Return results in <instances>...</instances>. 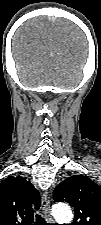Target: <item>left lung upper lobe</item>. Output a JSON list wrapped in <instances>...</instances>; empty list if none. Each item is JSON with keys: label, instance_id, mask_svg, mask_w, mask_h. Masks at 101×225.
<instances>
[{"label": "left lung upper lobe", "instance_id": "5c2ea615", "mask_svg": "<svg viewBox=\"0 0 101 225\" xmlns=\"http://www.w3.org/2000/svg\"><path fill=\"white\" fill-rule=\"evenodd\" d=\"M53 199L75 211L72 225H101V188L86 176L74 175L55 188Z\"/></svg>", "mask_w": 101, "mask_h": 225}]
</instances>
